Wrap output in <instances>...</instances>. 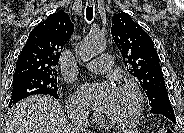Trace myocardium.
Here are the masks:
<instances>
[{
    "label": "myocardium",
    "mask_w": 184,
    "mask_h": 133,
    "mask_svg": "<svg viewBox=\"0 0 184 133\" xmlns=\"http://www.w3.org/2000/svg\"><path fill=\"white\" fill-rule=\"evenodd\" d=\"M117 89L125 90L132 94L134 99V107L130 113L121 118H114L110 116H105V118L112 124L124 126L134 122L139 118L144 109V99L140 88L134 82L127 81L120 83L117 86Z\"/></svg>",
    "instance_id": "1"
}]
</instances>
